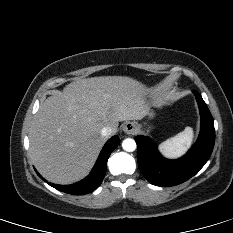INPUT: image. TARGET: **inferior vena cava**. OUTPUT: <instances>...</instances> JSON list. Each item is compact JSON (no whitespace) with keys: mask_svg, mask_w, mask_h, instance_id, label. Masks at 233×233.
Wrapping results in <instances>:
<instances>
[{"mask_svg":"<svg viewBox=\"0 0 233 233\" xmlns=\"http://www.w3.org/2000/svg\"><path fill=\"white\" fill-rule=\"evenodd\" d=\"M113 130L111 127H103L101 130V135L104 137H109L110 135H112Z\"/></svg>","mask_w":233,"mask_h":233,"instance_id":"inferior-vena-cava-1","label":"inferior vena cava"}]
</instances>
